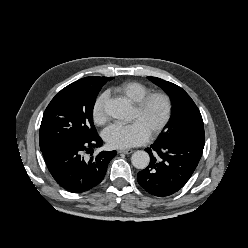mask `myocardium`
Listing matches in <instances>:
<instances>
[{
  "label": "myocardium",
  "mask_w": 248,
  "mask_h": 248,
  "mask_svg": "<svg viewBox=\"0 0 248 248\" xmlns=\"http://www.w3.org/2000/svg\"><path fill=\"white\" fill-rule=\"evenodd\" d=\"M159 98L164 103V112L159 122L150 130V136L158 135L170 120L172 113L171 97L164 91H150L135 103V109L143 113L153 99Z\"/></svg>",
  "instance_id": "f54148a6"
}]
</instances>
